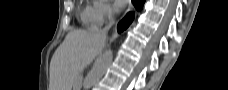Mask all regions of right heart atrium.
Instances as JSON below:
<instances>
[{"mask_svg": "<svg viewBox=\"0 0 228 90\" xmlns=\"http://www.w3.org/2000/svg\"><path fill=\"white\" fill-rule=\"evenodd\" d=\"M114 10L106 0H97L93 3L92 16L94 23L101 25L111 18Z\"/></svg>", "mask_w": 228, "mask_h": 90, "instance_id": "1", "label": "right heart atrium"}]
</instances>
